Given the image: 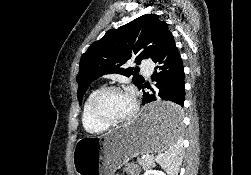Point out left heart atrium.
<instances>
[{
    "instance_id": "1",
    "label": "left heart atrium",
    "mask_w": 251,
    "mask_h": 175,
    "mask_svg": "<svg viewBox=\"0 0 251 175\" xmlns=\"http://www.w3.org/2000/svg\"><path fill=\"white\" fill-rule=\"evenodd\" d=\"M127 95L131 98V100H133V94L131 92L127 93Z\"/></svg>"
}]
</instances>
